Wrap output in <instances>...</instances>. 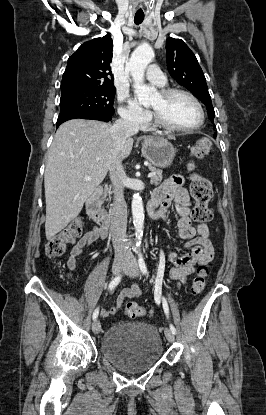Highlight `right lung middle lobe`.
Segmentation results:
<instances>
[{"label":"right lung middle lobe","mask_w":266,"mask_h":415,"mask_svg":"<svg viewBox=\"0 0 266 415\" xmlns=\"http://www.w3.org/2000/svg\"><path fill=\"white\" fill-rule=\"evenodd\" d=\"M115 87H86L61 92L60 112L114 114Z\"/></svg>","instance_id":"right-lung-middle-lobe-1"}]
</instances>
